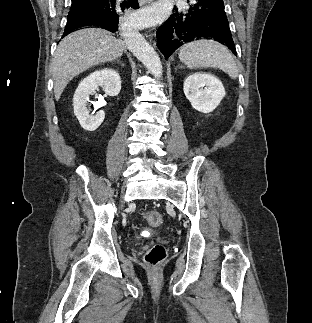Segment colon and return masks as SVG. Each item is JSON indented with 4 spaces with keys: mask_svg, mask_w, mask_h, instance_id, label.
<instances>
[{
    "mask_svg": "<svg viewBox=\"0 0 312 323\" xmlns=\"http://www.w3.org/2000/svg\"><path fill=\"white\" fill-rule=\"evenodd\" d=\"M145 219L152 226H158L162 224L163 221L161 213L157 210H148L145 213ZM165 257V248L160 244H156L146 252L144 260L146 263L150 264L151 269H158L159 264Z\"/></svg>",
    "mask_w": 312,
    "mask_h": 323,
    "instance_id": "colon-1",
    "label": "colon"
}]
</instances>
